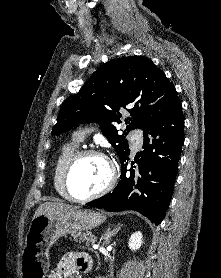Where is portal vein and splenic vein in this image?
I'll return each mask as SVG.
<instances>
[{
	"instance_id": "1",
	"label": "portal vein and splenic vein",
	"mask_w": 221,
	"mask_h": 278,
	"mask_svg": "<svg viewBox=\"0 0 221 278\" xmlns=\"http://www.w3.org/2000/svg\"><path fill=\"white\" fill-rule=\"evenodd\" d=\"M99 247V245H94V248H98Z\"/></svg>"
}]
</instances>
